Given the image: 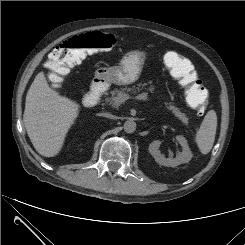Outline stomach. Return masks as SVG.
I'll return each mask as SVG.
<instances>
[{
    "instance_id": "stomach-1",
    "label": "stomach",
    "mask_w": 245,
    "mask_h": 245,
    "mask_svg": "<svg viewBox=\"0 0 245 245\" xmlns=\"http://www.w3.org/2000/svg\"><path fill=\"white\" fill-rule=\"evenodd\" d=\"M146 58L144 51H129L123 55L119 66L98 68L95 79L117 85L131 84L138 80Z\"/></svg>"
}]
</instances>
